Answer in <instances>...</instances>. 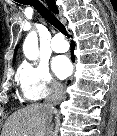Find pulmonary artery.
I'll return each instance as SVG.
<instances>
[{
    "instance_id": "pulmonary-artery-1",
    "label": "pulmonary artery",
    "mask_w": 117,
    "mask_h": 136,
    "mask_svg": "<svg viewBox=\"0 0 117 136\" xmlns=\"http://www.w3.org/2000/svg\"><path fill=\"white\" fill-rule=\"evenodd\" d=\"M51 48L55 52H65L68 50V43L60 35H56L52 39Z\"/></svg>"
}]
</instances>
